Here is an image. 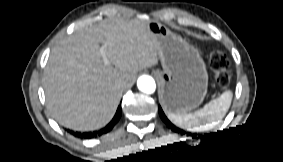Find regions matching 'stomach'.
<instances>
[{
  "mask_svg": "<svg viewBox=\"0 0 283 162\" xmlns=\"http://www.w3.org/2000/svg\"><path fill=\"white\" fill-rule=\"evenodd\" d=\"M163 67L156 71L161 103L166 110L184 111L199 105L207 89V72L199 52L160 22L149 20Z\"/></svg>",
  "mask_w": 283,
  "mask_h": 162,
  "instance_id": "stomach-1",
  "label": "stomach"
}]
</instances>
